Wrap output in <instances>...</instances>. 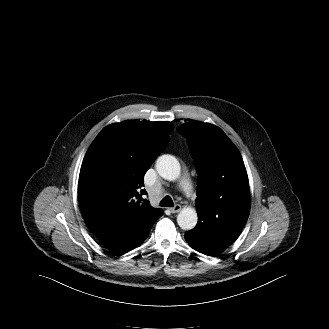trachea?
Listing matches in <instances>:
<instances>
[{"label": "trachea", "instance_id": "trachea-1", "mask_svg": "<svg viewBox=\"0 0 329 329\" xmlns=\"http://www.w3.org/2000/svg\"><path fill=\"white\" fill-rule=\"evenodd\" d=\"M160 205L162 207H173L174 204H173V200L170 196H165L161 202H160Z\"/></svg>", "mask_w": 329, "mask_h": 329}]
</instances>
